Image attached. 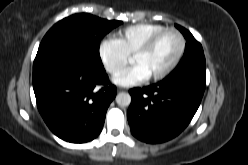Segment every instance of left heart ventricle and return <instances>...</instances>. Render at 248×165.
Wrapping results in <instances>:
<instances>
[{
    "label": "left heart ventricle",
    "mask_w": 248,
    "mask_h": 165,
    "mask_svg": "<svg viewBox=\"0 0 248 165\" xmlns=\"http://www.w3.org/2000/svg\"><path fill=\"white\" fill-rule=\"evenodd\" d=\"M178 50L179 39L169 32L161 36L147 53L132 57V63L143 66L151 77L164 70L175 58Z\"/></svg>",
    "instance_id": "obj_1"
}]
</instances>
